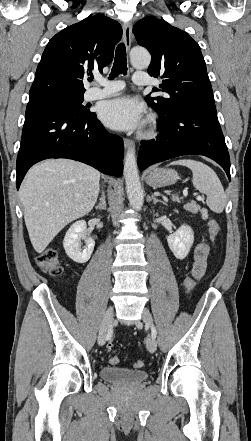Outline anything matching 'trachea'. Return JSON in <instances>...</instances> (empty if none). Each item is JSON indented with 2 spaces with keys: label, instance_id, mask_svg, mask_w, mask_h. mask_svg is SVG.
Segmentation results:
<instances>
[{
  "label": "trachea",
  "instance_id": "trachea-1",
  "mask_svg": "<svg viewBox=\"0 0 251 441\" xmlns=\"http://www.w3.org/2000/svg\"><path fill=\"white\" fill-rule=\"evenodd\" d=\"M126 73H127L126 49L124 43H120L116 48L114 63L109 79H113L117 77L119 74L125 75Z\"/></svg>",
  "mask_w": 251,
  "mask_h": 441
}]
</instances>
